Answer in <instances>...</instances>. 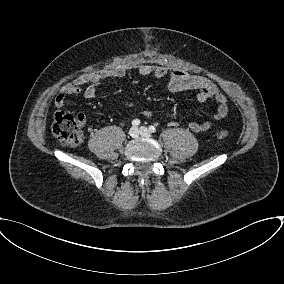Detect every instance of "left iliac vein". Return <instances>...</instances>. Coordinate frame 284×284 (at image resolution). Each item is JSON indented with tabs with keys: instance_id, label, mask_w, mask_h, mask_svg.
<instances>
[{
	"instance_id": "left-iliac-vein-1",
	"label": "left iliac vein",
	"mask_w": 284,
	"mask_h": 284,
	"mask_svg": "<svg viewBox=\"0 0 284 284\" xmlns=\"http://www.w3.org/2000/svg\"><path fill=\"white\" fill-rule=\"evenodd\" d=\"M139 132L142 136H145V137H150L151 136V133L150 131L148 130L147 127L145 126H141L140 129H139Z\"/></svg>"
}]
</instances>
